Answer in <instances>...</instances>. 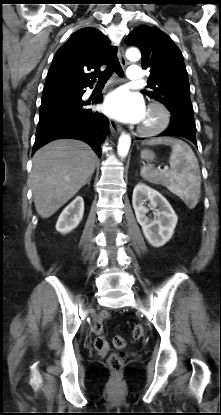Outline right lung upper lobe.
I'll return each instance as SVG.
<instances>
[{
  "label": "right lung upper lobe",
  "mask_w": 221,
  "mask_h": 415,
  "mask_svg": "<svg viewBox=\"0 0 221 415\" xmlns=\"http://www.w3.org/2000/svg\"><path fill=\"white\" fill-rule=\"evenodd\" d=\"M117 55L108 38L92 27L76 31L56 52L43 92L93 84L100 67ZM94 70L92 73L88 71Z\"/></svg>",
  "instance_id": "cb5924a9"
}]
</instances>
